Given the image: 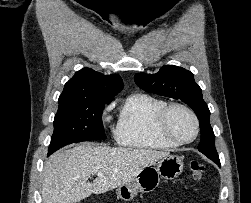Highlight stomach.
<instances>
[{
    "instance_id": "0dacf381",
    "label": "stomach",
    "mask_w": 251,
    "mask_h": 203,
    "mask_svg": "<svg viewBox=\"0 0 251 203\" xmlns=\"http://www.w3.org/2000/svg\"><path fill=\"white\" fill-rule=\"evenodd\" d=\"M182 171L183 160L179 156H165L157 162L156 166L144 168L134 180L119 186L117 195L124 201H130L139 192L153 191L159 185L160 179H175Z\"/></svg>"
}]
</instances>
